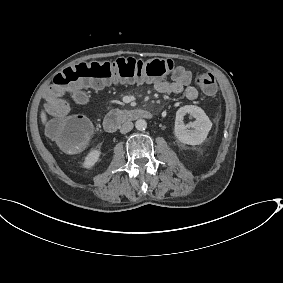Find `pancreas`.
<instances>
[{
  "label": "pancreas",
  "mask_w": 283,
  "mask_h": 283,
  "mask_svg": "<svg viewBox=\"0 0 283 283\" xmlns=\"http://www.w3.org/2000/svg\"><path fill=\"white\" fill-rule=\"evenodd\" d=\"M121 114L123 115V117H128L130 114H131V111H129V110H123V111H121Z\"/></svg>",
  "instance_id": "cf45deb5"
}]
</instances>
